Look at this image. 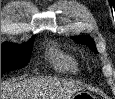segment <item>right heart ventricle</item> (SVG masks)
<instances>
[{"instance_id": "right-heart-ventricle-1", "label": "right heart ventricle", "mask_w": 115, "mask_h": 99, "mask_svg": "<svg viewBox=\"0 0 115 99\" xmlns=\"http://www.w3.org/2000/svg\"><path fill=\"white\" fill-rule=\"evenodd\" d=\"M47 58L58 71L74 74L79 71V64L75 57L58 49L55 45L48 47Z\"/></svg>"}]
</instances>
